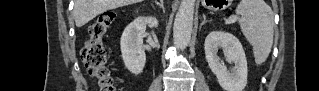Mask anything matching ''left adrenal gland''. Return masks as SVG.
Instances as JSON below:
<instances>
[{
	"instance_id": "1",
	"label": "left adrenal gland",
	"mask_w": 319,
	"mask_h": 91,
	"mask_svg": "<svg viewBox=\"0 0 319 91\" xmlns=\"http://www.w3.org/2000/svg\"><path fill=\"white\" fill-rule=\"evenodd\" d=\"M207 22H208V20H206V16L203 15V21H202V23L200 24V28H201L205 23H207Z\"/></svg>"
}]
</instances>
